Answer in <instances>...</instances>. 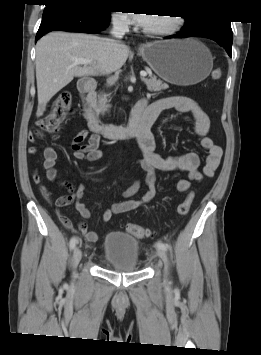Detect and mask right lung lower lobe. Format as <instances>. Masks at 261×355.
Segmentation results:
<instances>
[{"instance_id": "98d812e1", "label": "right lung lower lobe", "mask_w": 261, "mask_h": 355, "mask_svg": "<svg viewBox=\"0 0 261 355\" xmlns=\"http://www.w3.org/2000/svg\"><path fill=\"white\" fill-rule=\"evenodd\" d=\"M45 6L35 41L51 31L95 33L110 22L109 10H97L78 1L52 2Z\"/></svg>"}]
</instances>
